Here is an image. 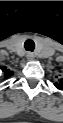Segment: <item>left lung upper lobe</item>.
Returning <instances> with one entry per match:
<instances>
[{"label": "left lung upper lobe", "instance_id": "obj_1", "mask_svg": "<svg viewBox=\"0 0 63 123\" xmlns=\"http://www.w3.org/2000/svg\"><path fill=\"white\" fill-rule=\"evenodd\" d=\"M55 86L59 89L63 88V84L62 83H55Z\"/></svg>", "mask_w": 63, "mask_h": 123}]
</instances>
